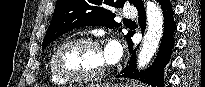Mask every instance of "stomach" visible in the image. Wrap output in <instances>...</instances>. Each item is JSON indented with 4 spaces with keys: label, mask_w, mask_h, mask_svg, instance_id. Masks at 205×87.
I'll use <instances>...</instances> for the list:
<instances>
[{
    "label": "stomach",
    "mask_w": 205,
    "mask_h": 87,
    "mask_svg": "<svg viewBox=\"0 0 205 87\" xmlns=\"http://www.w3.org/2000/svg\"><path fill=\"white\" fill-rule=\"evenodd\" d=\"M87 87H109V86H102V85H90ZM112 87H136L135 84H131V83H118V84H114L112 85Z\"/></svg>",
    "instance_id": "1"
}]
</instances>
